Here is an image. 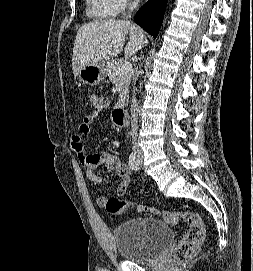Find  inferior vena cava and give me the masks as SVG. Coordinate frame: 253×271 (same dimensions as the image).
<instances>
[{"mask_svg":"<svg viewBox=\"0 0 253 271\" xmlns=\"http://www.w3.org/2000/svg\"><path fill=\"white\" fill-rule=\"evenodd\" d=\"M139 0H135L132 5H130L129 10L133 11L137 6H138ZM130 17V15H129ZM128 18V16H127ZM138 104L136 97L134 96L132 99V104H131V127H132V132H131V137H132V144H133V150L139 151V144H138V133H137V127H138Z\"/></svg>","mask_w":253,"mask_h":271,"instance_id":"obj_1","label":"inferior vena cava"}]
</instances>
